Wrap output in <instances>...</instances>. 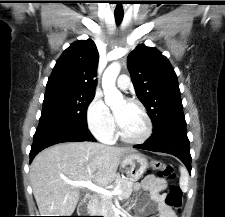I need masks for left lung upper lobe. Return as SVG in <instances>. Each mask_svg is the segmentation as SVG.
Wrapping results in <instances>:
<instances>
[{
	"label": "left lung upper lobe",
	"instance_id": "5c2ea615",
	"mask_svg": "<svg viewBox=\"0 0 225 217\" xmlns=\"http://www.w3.org/2000/svg\"><path fill=\"white\" fill-rule=\"evenodd\" d=\"M128 70L153 131L185 121L177 76L165 56L155 48L139 45L128 56Z\"/></svg>",
	"mask_w": 225,
	"mask_h": 217
}]
</instances>
